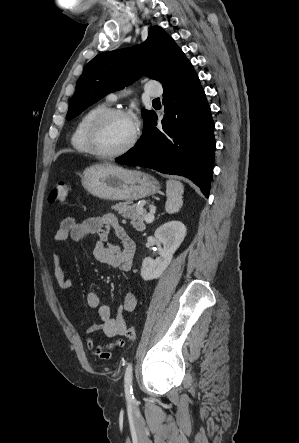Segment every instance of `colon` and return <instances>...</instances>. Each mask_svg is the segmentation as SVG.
Returning a JSON list of instances; mask_svg holds the SVG:
<instances>
[{
    "label": "colon",
    "instance_id": "colon-1",
    "mask_svg": "<svg viewBox=\"0 0 299 443\" xmlns=\"http://www.w3.org/2000/svg\"><path fill=\"white\" fill-rule=\"evenodd\" d=\"M69 193V185L65 181H58L52 187L48 201L51 205H62L65 203ZM125 337L127 340L133 342L137 338V332L134 326L125 330Z\"/></svg>",
    "mask_w": 299,
    "mask_h": 443
}]
</instances>
